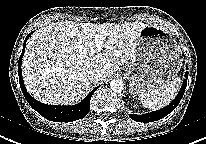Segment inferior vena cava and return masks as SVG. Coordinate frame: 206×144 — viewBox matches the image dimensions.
Here are the masks:
<instances>
[{
  "instance_id": "inferior-vena-cava-1",
  "label": "inferior vena cava",
  "mask_w": 206,
  "mask_h": 144,
  "mask_svg": "<svg viewBox=\"0 0 206 144\" xmlns=\"http://www.w3.org/2000/svg\"><path fill=\"white\" fill-rule=\"evenodd\" d=\"M88 78L92 81V82H98L99 80H101L102 74L100 72L99 69L96 68H90L88 71Z\"/></svg>"
}]
</instances>
